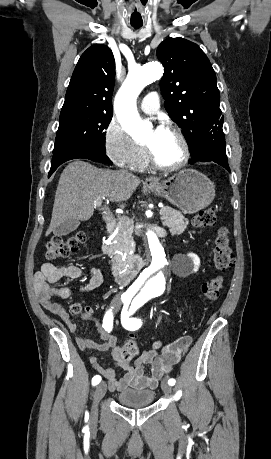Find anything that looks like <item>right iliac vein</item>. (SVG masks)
Here are the masks:
<instances>
[{
    "instance_id": "obj_1",
    "label": "right iliac vein",
    "mask_w": 271,
    "mask_h": 459,
    "mask_svg": "<svg viewBox=\"0 0 271 459\" xmlns=\"http://www.w3.org/2000/svg\"><path fill=\"white\" fill-rule=\"evenodd\" d=\"M106 390H107V385H106L105 382L100 383L95 389L94 403H93V407H92V410H91V418L92 419H96L97 418V415H98L97 404L100 401V399L105 395Z\"/></svg>"
}]
</instances>
